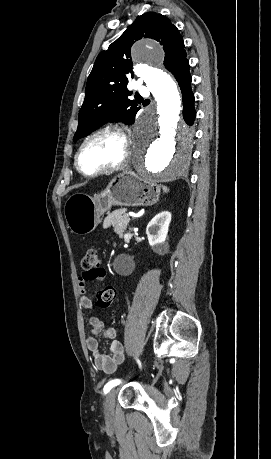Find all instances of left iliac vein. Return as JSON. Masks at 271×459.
<instances>
[{
	"label": "left iliac vein",
	"mask_w": 271,
	"mask_h": 459,
	"mask_svg": "<svg viewBox=\"0 0 271 459\" xmlns=\"http://www.w3.org/2000/svg\"><path fill=\"white\" fill-rule=\"evenodd\" d=\"M115 397H116V391L114 389L110 390L106 395L105 415L107 417L113 415L114 413Z\"/></svg>",
	"instance_id": "1"
}]
</instances>
